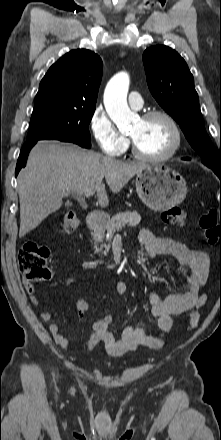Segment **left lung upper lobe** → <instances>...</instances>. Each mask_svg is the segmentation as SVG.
<instances>
[{"label":"left lung upper lobe","instance_id":"1","mask_svg":"<svg viewBox=\"0 0 221 440\" xmlns=\"http://www.w3.org/2000/svg\"><path fill=\"white\" fill-rule=\"evenodd\" d=\"M147 84L159 105L180 125L188 142L214 172L221 171L218 154L205 130L193 76L185 60L164 45L143 53Z\"/></svg>","mask_w":221,"mask_h":440}]
</instances>
